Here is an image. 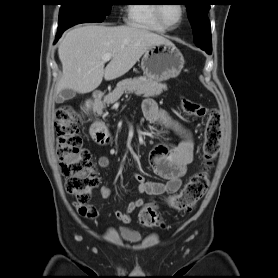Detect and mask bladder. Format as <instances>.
<instances>
[{
  "instance_id": "obj_1",
  "label": "bladder",
  "mask_w": 278,
  "mask_h": 278,
  "mask_svg": "<svg viewBox=\"0 0 278 278\" xmlns=\"http://www.w3.org/2000/svg\"><path fill=\"white\" fill-rule=\"evenodd\" d=\"M121 236L129 242H136L139 240V236L137 234L128 231H121Z\"/></svg>"
}]
</instances>
